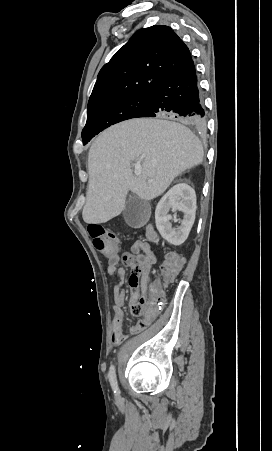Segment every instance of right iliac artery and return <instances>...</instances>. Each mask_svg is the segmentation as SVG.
<instances>
[{"label":"right iliac artery","instance_id":"obj_1","mask_svg":"<svg viewBox=\"0 0 272 451\" xmlns=\"http://www.w3.org/2000/svg\"><path fill=\"white\" fill-rule=\"evenodd\" d=\"M108 376H109V380H110V383H111V386H112V389H113L114 393L116 395H118L119 394V388H118V383H117V378H116V373H115L114 366L110 367Z\"/></svg>","mask_w":272,"mask_h":451}]
</instances>
